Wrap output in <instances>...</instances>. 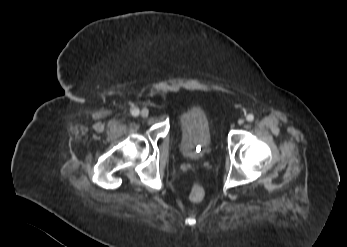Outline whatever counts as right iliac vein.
Here are the masks:
<instances>
[{"label":"right iliac vein","instance_id":"obj_1","mask_svg":"<svg viewBox=\"0 0 347 247\" xmlns=\"http://www.w3.org/2000/svg\"><path fill=\"white\" fill-rule=\"evenodd\" d=\"M140 115L141 117L146 118L149 115L148 109H142Z\"/></svg>","mask_w":347,"mask_h":247}]
</instances>
